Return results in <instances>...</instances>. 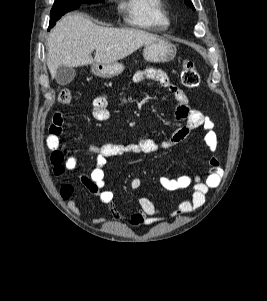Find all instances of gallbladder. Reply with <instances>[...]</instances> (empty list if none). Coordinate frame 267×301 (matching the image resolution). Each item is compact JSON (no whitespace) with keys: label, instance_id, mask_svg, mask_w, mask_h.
Listing matches in <instances>:
<instances>
[{"label":"gallbladder","instance_id":"obj_1","mask_svg":"<svg viewBox=\"0 0 267 301\" xmlns=\"http://www.w3.org/2000/svg\"><path fill=\"white\" fill-rule=\"evenodd\" d=\"M75 78V70L72 67L60 66L55 75L56 82L65 86L68 85Z\"/></svg>","mask_w":267,"mask_h":301}]
</instances>
